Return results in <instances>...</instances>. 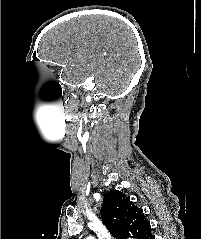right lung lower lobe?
<instances>
[{
  "label": "right lung lower lobe",
  "instance_id": "1",
  "mask_svg": "<svg viewBox=\"0 0 201 239\" xmlns=\"http://www.w3.org/2000/svg\"><path fill=\"white\" fill-rule=\"evenodd\" d=\"M149 239H154L153 236H152V234L150 235Z\"/></svg>",
  "mask_w": 201,
  "mask_h": 239
}]
</instances>
